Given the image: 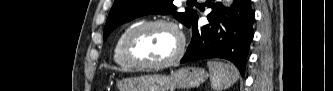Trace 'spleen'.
I'll return each mask as SVG.
<instances>
[{"label": "spleen", "instance_id": "spleen-1", "mask_svg": "<svg viewBox=\"0 0 333 91\" xmlns=\"http://www.w3.org/2000/svg\"><path fill=\"white\" fill-rule=\"evenodd\" d=\"M211 87L214 91H223L232 86L239 78L238 69L232 65L218 61H208Z\"/></svg>", "mask_w": 333, "mask_h": 91}]
</instances>
